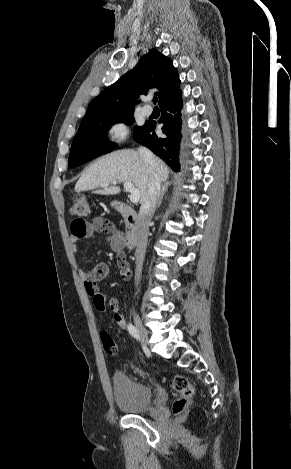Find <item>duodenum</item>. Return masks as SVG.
<instances>
[{"label": "duodenum", "instance_id": "410a0bca", "mask_svg": "<svg viewBox=\"0 0 291 469\" xmlns=\"http://www.w3.org/2000/svg\"><path fill=\"white\" fill-rule=\"evenodd\" d=\"M116 210L122 214L127 222V230L124 235V246L132 249L136 246L139 234V219L137 212L123 202L115 203Z\"/></svg>", "mask_w": 291, "mask_h": 469}]
</instances>
